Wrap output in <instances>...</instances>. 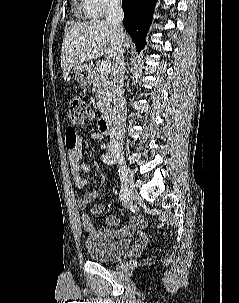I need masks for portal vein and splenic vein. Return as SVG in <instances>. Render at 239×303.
Returning <instances> with one entry per match:
<instances>
[{
    "label": "portal vein and splenic vein",
    "mask_w": 239,
    "mask_h": 303,
    "mask_svg": "<svg viewBox=\"0 0 239 303\" xmlns=\"http://www.w3.org/2000/svg\"><path fill=\"white\" fill-rule=\"evenodd\" d=\"M100 69L102 72H105V73H108L110 72V69H111V63L110 61H103L100 65Z\"/></svg>",
    "instance_id": "portal-vein-and-splenic-vein-1"
}]
</instances>
